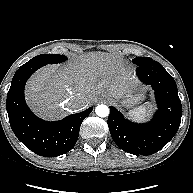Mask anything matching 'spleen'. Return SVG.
<instances>
[{
    "label": "spleen",
    "mask_w": 193,
    "mask_h": 193,
    "mask_svg": "<svg viewBox=\"0 0 193 193\" xmlns=\"http://www.w3.org/2000/svg\"><path fill=\"white\" fill-rule=\"evenodd\" d=\"M151 105H141L131 111H129V116L135 120H143L151 111Z\"/></svg>",
    "instance_id": "3e777b00"
}]
</instances>
